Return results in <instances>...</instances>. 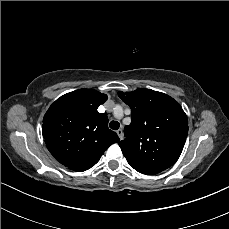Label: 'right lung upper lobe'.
Masks as SVG:
<instances>
[{"label":"right lung upper lobe","instance_id":"cb5924a9","mask_svg":"<svg viewBox=\"0 0 229 229\" xmlns=\"http://www.w3.org/2000/svg\"><path fill=\"white\" fill-rule=\"evenodd\" d=\"M107 95L93 89H79L57 99L48 109L42 134L54 158L74 171L94 166L107 148L119 142L108 129V117L97 108Z\"/></svg>","mask_w":229,"mask_h":229}]
</instances>
